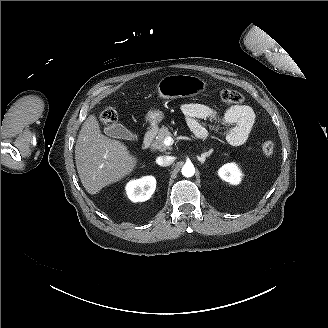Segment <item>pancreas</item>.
Returning <instances> with one entry per match:
<instances>
[{
	"mask_svg": "<svg viewBox=\"0 0 328 328\" xmlns=\"http://www.w3.org/2000/svg\"><path fill=\"white\" fill-rule=\"evenodd\" d=\"M171 135L172 134L171 132H169L168 128L166 126H162L159 129L158 134L155 140L153 141L152 145L160 151L172 150L171 146H167L164 144L165 138L170 137Z\"/></svg>",
	"mask_w": 328,
	"mask_h": 328,
	"instance_id": "1",
	"label": "pancreas"
}]
</instances>
